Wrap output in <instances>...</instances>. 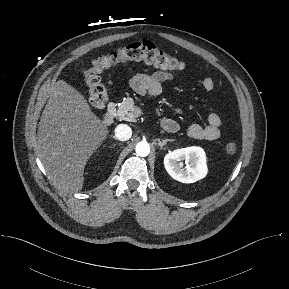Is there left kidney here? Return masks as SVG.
Here are the masks:
<instances>
[{
    "instance_id": "obj_1",
    "label": "left kidney",
    "mask_w": 289,
    "mask_h": 289,
    "mask_svg": "<svg viewBox=\"0 0 289 289\" xmlns=\"http://www.w3.org/2000/svg\"><path fill=\"white\" fill-rule=\"evenodd\" d=\"M164 166L173 179L182 183H194L207 174L205 152L195 146L169 152L164 157Z\"/></svg>"
}]
</instances>
